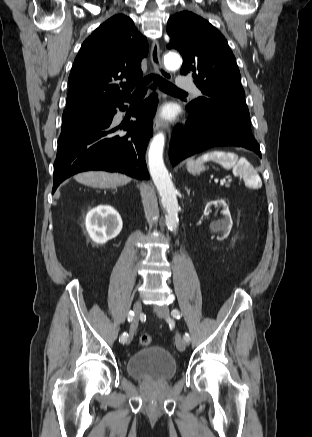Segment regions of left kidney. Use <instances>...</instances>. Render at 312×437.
<instances>
[{"label":"left kidney","mask_w":312,"mask_h":437,"mask_svg":"<svg viewBox=\"0 0 312 437\" xmlns=\"http://www.w3.org/2000/svg\"><path fill=\"white\" fill-rule=\"evenodd\" d=\"M221 205L222 206V214L224 216L223 219L215 221L211 224V228L214 232H223L224 234V238H226L228 236V234L231 231L232 228V219H231V215H230V211L229 208L227 206V204L225 203L224 200H215V201H210L206 204L205 206V210H204V214L208 215L211 212V206L212 205Z\"/></svg>","instance_id":"5707ae66"}]
</instances>
